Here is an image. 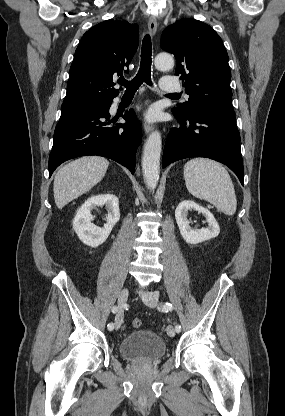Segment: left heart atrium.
<instances>
[{
  "label": "left heart atrium",
  "mask_w": 285,
  "mask_h": 416,
  "mask_svg": "<svg viewBox=\"0 0 285 416\" xmlns=\"http://www.w3.org/2000/svg\"><path fill=\"white\" fill-rule=\"evenodd\" d=\"M148 118H153V113L152 112L148 113Z\"/></svg>",
  "instance_id": "1"
}]
</instances>
